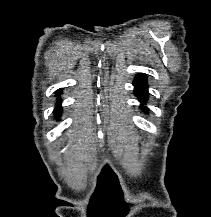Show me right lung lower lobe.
<instances>
[{
    "label": "right lung lower lobe",
    "instance_id": "98d812e1",
    "mask_svg": "<svg viewBox=\"0 0 211 217\" xmlns=\"http://www.w3.org/2000/svg\"><path fill=\"white\" fill-rule=\"evenodd\" d=\"M57 94H59V93H57ZM56 107H57V109L54 110V113H55L56 118H59L60 114H61V102L60 101L57 102Z\"/></svg>",
    "mask_w": 211,
    "mask_h": 217
}]
</instances>
